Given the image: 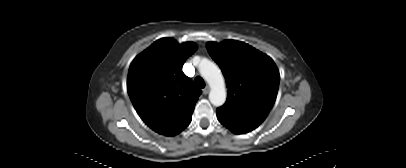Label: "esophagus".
Wrapping results in <instances>:
<instances>
[{"label": "esophagus", "mask_w": 406, "mask_h": 168, "mask_svg": "<svg viewBox=\"0 0 406 168\" xmlns=\"http://www.w3.org/2000/svg\"><path fill=\"white\" fill-rule=\"evenodd\" d=\"M209 91H210V87L209 86H206L204 89H203V94H208L209 93Z\"/></svg>", "instance_id": "obj_1"}]
</instances>
